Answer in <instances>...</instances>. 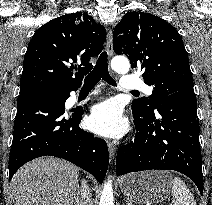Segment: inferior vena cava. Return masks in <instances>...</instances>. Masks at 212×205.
Returning a JSON list of instances; mask_svg holds the SVG:
<instances>
[{
	"mask_svg": "<svg viewBox=\"0 0 212 205\" xmlns=\"http://www.w3.org/2000/svg\"><path fill=\"white\" fill-rule=\"evenodd\" d=\"M80 192H81L82 205H91L92 198H91L90 190L85 185V183L82 184Z\"/></svg>",
	"mask_w": 212,
	"mask_h": 205,
	"instance_id": "602c4592",
	"label": "inferior vena cava"
}]
</instances>
